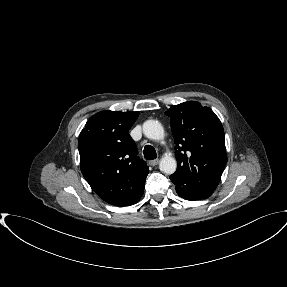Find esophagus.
<instances>
[{
  "mask_svg": "<svg viewBox=\"0 0 287 287\" xmlns=\"http://www.w3.org/2000/svg\"><path fill=\"white\" fill-rule=\"evenodd\" d=\"M158 163H159V159H154V160L149 161L150 166H156L158 165Z\"/></svg>",
  "mask_w": 287,
  "mask_h": 287,
  "instance_id": "obj_1",
  "label": "esophagus"
}]
</instances>
